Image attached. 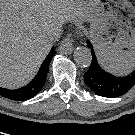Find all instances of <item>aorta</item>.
Segmentation results:
<instances>
[{
  "label": "aorta",
  "instance_id": "obj_1",
  "mask_svg": "<svg viewBox=\"0 0 135 135\" xmlns=\"http://www.w3.org/2000/svg\"><path fill=\"white\" fill-rule=\"evenodd\" d=\"M74 60L77 65L82 67H88L92 61V55L89 48L85 46H79L74 50Z\"/></svg>",
  "mask_w": 135,
  "mask_h": 135
}]
</instances>
